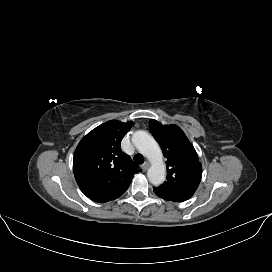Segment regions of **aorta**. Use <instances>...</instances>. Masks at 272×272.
Returning <instances> with one entry per match:
<instances>
[{
    "instance_id": "obj_1",
    "label": "aorta",
    "mask_w": 272,
    "mask_h": 272,
    "mask_svg": "<svg viewBox=\"0 0 272 272\" xmlns=\"http://www.w3.org/2000/svg\"><path fill=\"white\" fill-rule=\"evenodd\" d=\"M132 141L151 163L147 172L150 183L155 186L161 185L165 180L166 170L160 146L151 135L141 130L133 134Z\"/></svg>"
}]
</instances>
